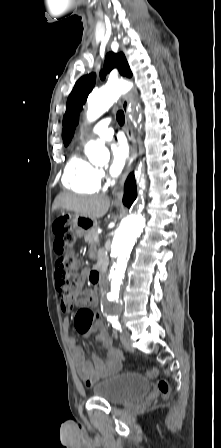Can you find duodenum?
<instances>
[{
    "label": "duodenum",
    "mask_w": 221,
    "mask_h": 448,
    "mask_svg": "<svg viewBox=\"0 0 221 448\" xmlns=\"http://www.w3.org/2000/svg\"><path fill=\"white\" fill-rule=\"evenodd\" d=\"M89 279L94 285L100 286L102 284V270H93L89 275Z\"/></svg>",
    "instance_id": "1"
}]
</instances>
